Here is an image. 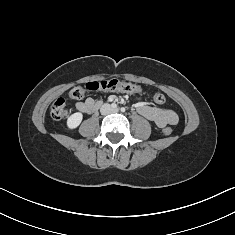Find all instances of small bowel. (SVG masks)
<instances>
[{
    "label": "small bowel",
    "instance_id": "small-bowel-1",
    "mask_svg": "<svg viewBox=\"0 0 235 235\" xmlns=\"http://www.w3.org/2000/svg\"><path fill=\"white\" fill-rule=\"evenodd\" d=\"M95 104L100 105V102L93 98H86L84 101L76 103V109L80 112L88 113ZM137 111L146 119L154 122L159 128L167 125H176L179 121L178 114L173 109L156 108L142 103L137 107Z\"/></svg>",
    "mask_w": 235,
    "mask_h": 235
}]
</instances>
